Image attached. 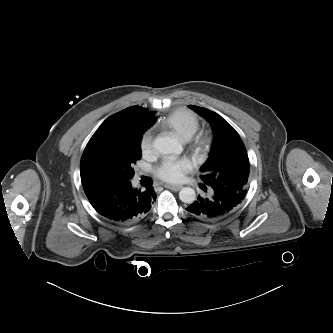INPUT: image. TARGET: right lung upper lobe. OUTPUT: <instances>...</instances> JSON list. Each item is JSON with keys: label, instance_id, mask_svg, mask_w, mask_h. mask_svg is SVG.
I'll list each match as a JSON object with an SVG mask.
<instances>
[{"label": "right lung upper lobe", "instance_id": "right-lung-upper-lobe-1", "mask_svg": "<svg viewBox=\"0 0 333 333\" xmlns=\"http://www.w3.org/2000/svg\"><path fill=\"white\" fill-rule=\"evenodd\" d=\"M127 110L128 111H135L137 116H139L143 120L147 121V123L149 124V127L153 125V123L156 119L155 116H154V112H149L147 109L142 108V107L132 106V107L127 108Z\"/></svg>", "mask_w": 333, "mask_h": 333}]
</instances>
